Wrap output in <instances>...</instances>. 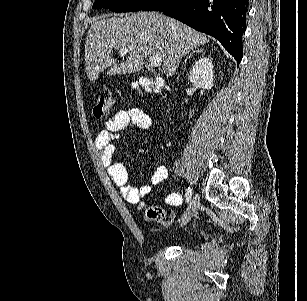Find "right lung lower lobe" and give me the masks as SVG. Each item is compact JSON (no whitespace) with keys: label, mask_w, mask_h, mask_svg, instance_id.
<instances>
[{"label":"right lung lower lobe","mask_w":307,"mask_h":301,"mask_svg":"<svg viewBox=\"0 0 307 301\" xmlns=\"http://www.w3.org/2000/svg\"><path fill=\"white\" fill-rule=\"evenodd\" d=\"M247 8V0H156L144 11H162L215 37L239 63Z\"/></svg>","instance_id":"1"}]
</instances>
